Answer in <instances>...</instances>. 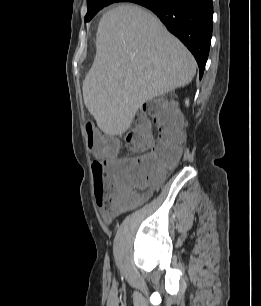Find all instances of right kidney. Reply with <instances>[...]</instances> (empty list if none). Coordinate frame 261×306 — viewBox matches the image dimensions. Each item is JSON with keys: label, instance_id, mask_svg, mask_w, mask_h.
Listing matches in <instances>:
<instances>
[{"label": "right kidney", "instance_id": "obj_1", "mask_svg": "<svg viewBox=\"0 0 261 306\" xmlns=\"http://www.w3.org/2000/svg\"><path fill=\"white\" fill-rule=\"evenodd\" d=\"M185 103H186V105L188 106V105H189V100L187 99Z\"/></svg>", "mask_w": 261, "mask_h": 306}]
</instances>
